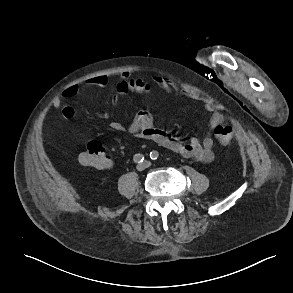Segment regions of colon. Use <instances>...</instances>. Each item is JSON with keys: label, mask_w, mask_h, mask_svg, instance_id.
Segmentation results:
<instances>
[{"label": "colon", "mask_w": 293, "mask_h": 293, "mask_svg": "<svg viewBox=\"0 0 293 293\" xmlns=\"http://www.w3.org/2000/svg\"><path fill=\"white\" fill-rule=\"evenodd\" d=\"M214 134L221 144L227 145L232 140L233 128L229 124H221L214 128ZM78 161L83 166L95 169H106L109 166L106 149L102 143L97 141L87 145L86 149L79 154Z\"/></svg>", "instance_id": "colon-1"}]
</instances>
